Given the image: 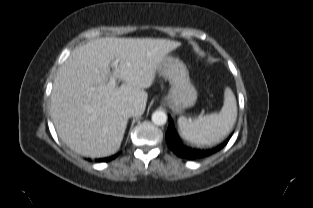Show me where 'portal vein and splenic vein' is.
I'll list each match as a JSON object with an SVG mask.
<instances>
[{
    "instance_id": "obj_1",
    "label": "portal vein and splenic vein",
    "mask_w": 313,
    "mask_h": 208,
    "mask_svg": "<svg viewBox=\"0 0 313 208\" xmlns=\"http://www.w3.org/2000/svg\"><path fill=\"white\" fill-rule=\"evenodd\" d=\"M118 63H119V60L118 59H115L112 63V67L114 69L113 71V75L112 77L110 78L109 80V85L110 86H115L116 85V79H117V71H118Z\"/></svg>"
}]
</instances>
